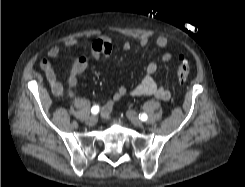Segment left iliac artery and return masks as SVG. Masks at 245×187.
I'll return each instance as SVG.
<instances>
[{"instance_id": "left-iliac-artery-1", "label": "left iliac artery", "mask_w": 245, "mask_h": 187, "mask_svg": "<svg viewBox=\"0 0 245 187\" xmlns=\"http://www.w3.org/2000/svg\"><path fill=\"white\" fill-rule=\"evenodd\" d=\"M148 118V116L145 113L139 114V119H141L142 121H146Z\"/></svg>"}]
</instances>
